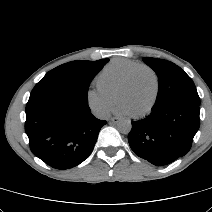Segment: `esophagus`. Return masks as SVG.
Listing matches in <instances>:
<instances>
[{
  "mask_svg": "<svg viewBox=\"0 0 212 212\" xmlns=\"http://www.w3.org/2000/svg\"><path fill=\"white\" fill-rule=\"evenodd\" d=\"M110 121H111V123L117 124V123L120 122V118H118V117H113V118H111Z\"/></svg>",
  "mask_w": 212,
  "mask_h": 212,
  "instance_id": "esophagus-1",
  "label": "esophagus"
}]
</instances>
